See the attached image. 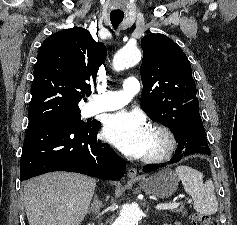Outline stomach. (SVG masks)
<instances>
[{
  "label": "stomach",
  "instance_id": "0dacf381",
  "mask_svg": "<svg viewBox=\"0 0 237 225\" xmlns=\"http://www.w3.org/2000/svg\"><path fill=\"white\" fill-rule=\"evenodd\" d=\"M138 182L147 194L168 198L176 192L179 178L172 170L166 168L150 177L138 179Z\"/></svg>",
  "mask_w": 237,
  "mask_h": 225
}]
</instances>
